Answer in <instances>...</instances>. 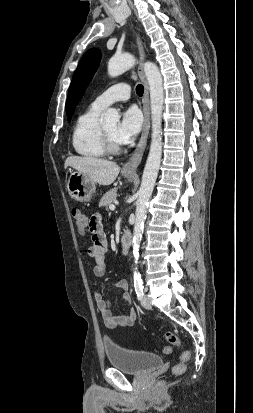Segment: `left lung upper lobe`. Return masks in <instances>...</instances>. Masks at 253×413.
Returning <instances> with one entry per match:
<instances>
[{
  "label": "left lung upper lobe",
  "instance_id": "left-lung-upper-lobe-1",
  "mask_svg": "<svg viewBox=\"0 0 253 413\" xmlns=\"http://www.w3.org/2000/svg\"><path fill=\"white\" fill-rule=\"evenodd\" d=\"M101 60V51L96 48L89 49L81 58L73 75L68 98L66 101L67 119L70 121L76 104L83 96Z\"/></svg>",
  "mask_w": 253,
  "mask_h": 413
}]
</instances>
